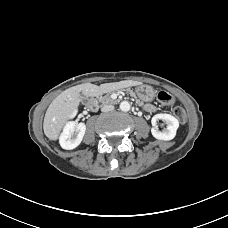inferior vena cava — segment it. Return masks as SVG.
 Instances as JSON below:
<instances>
[{
    "instance_id": "obj_1",
    "label": "inferior vena cava",
    "mask_w": 228,
    "mask_h": 228,
    "mask_svg": "<svg viewBox=\"0 0 228 228\" xmlns=\"http://www.w3.org/2000/svg\"><path fill=\"white\" fill-rule=\"evenodd\" d=\"M113 109H114V106L111 104H108V105L102 106L101 111L102 112H109V111H112Z\"/></svg>"
}]
</instances>
